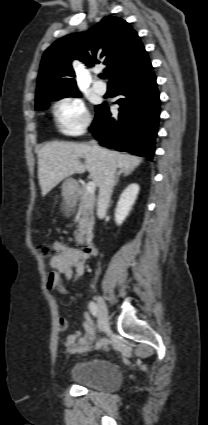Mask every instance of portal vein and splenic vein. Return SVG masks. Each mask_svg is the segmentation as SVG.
I'll return each instance as SVG.
<instances>
[{"label":"portal vein and splenic vein","mask_w":208,"mask_h":425,"mask_svg":"<svg viewBox=\"0 0 208 425\" xmlns=\"http://www.w3.org/2000/svg\"><path fill=\"white\" fill-rule=\"evenodd\" d=\"M95 189H96V185H95V182L94 181H89L86 184V191H87L88 194L93 195L94 192H95Z\"/></svg>","instance_id":"portal-vein-and-splenic-vein-1"}]
</instances>
